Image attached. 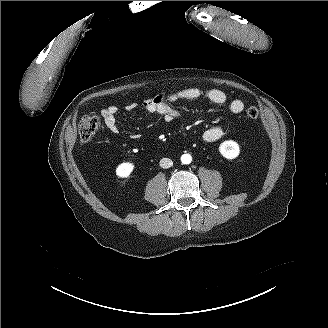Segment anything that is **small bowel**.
Listing matches in <instances>:
<instances>
[{
  "mask_svg": "<svg viewBox=\"0 0 328 328\" xmlns=\"http://www.w3.org/2000/svg\"><path fill=\"white\" fill-rule=\"evenodd\" d=\"M207 99L217 105H227L229 110L234 114H239L244 110V103L240 99L229 100L227 95L219 89H201L190 87L172 93H161L154 97L145 99L142 107L149 113L161 117L165 122H171L179 116V112L173 107V103L180 100H198ZM136 102L128 103L126 111L132 112L137 108ZM118 107L110 105L102 109L101 116L106 128L117 134L119 132L117 124ZM223 130L219 126L208 128L203 132L202 138L206 142H214L221 138ZM131 138L136 139V135Z\"/></svg>",
  "mask_w": 328,
  "mask_h": 328,
  "instance_id": "1",
  "label": "small bowel"
}]
</instances>
